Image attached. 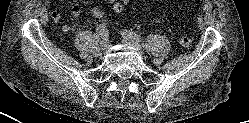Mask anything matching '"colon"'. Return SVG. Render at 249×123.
<instances>
[{"label": "colon", "mask_w": 249, "mask_h": 123, "mask_svg": "<svg viewBox=\"0 0 249 123\" xmlns=\"http://www.w3.org/2000/svg\"><path fill=\"white\" fill-rule=\"evenodd\" d=\"M112 10H113V11H118V7L115 6V5H113V6H112ZM178 43H179V45H180L182 48L187 49V48H190V47H191V45H192V40H191L190 37L185 36V35H182V36L179 37Z\"/></svg>", "instance_id": "colon-1"}]
</instances>
